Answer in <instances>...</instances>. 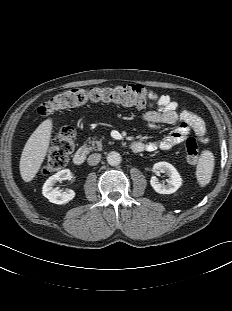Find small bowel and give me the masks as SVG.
<instances>
[{"mask_svg":"<svg viewBox=\"0 0 232 311\" xmlns=\"http://www.w3.org/2000/svg\"><path fill=\"white\" fill-rule=\"evenodd\" d=\"M149 96L157 104V109L148 110L142 114V119L150 130L159 128L161 124H178V126L166 137L159 141H151L144 144L147 151H169L174 146L182 143L194 133L202 142H205V124L202 118L190 110H180L176 101L169 95H159L150 91Z\"/></svg>","mask_w":232,"mask_h":311,"instance_id":"1","label":"small bowel"}]
</instances>
